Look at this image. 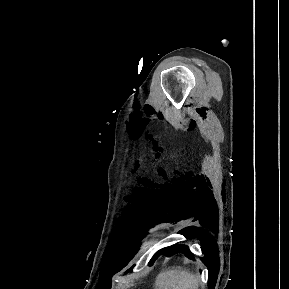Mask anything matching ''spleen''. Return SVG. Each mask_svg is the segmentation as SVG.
<instances>
[{
  "instance_id": "spleen-1",
  "label": "spleen",
  "mask_w": 289,
  "mask_h": 289,
  "mask_svg": "<svg viewBox=\"0 0 289 289\" xmlns=\"http://www.w3.org/2000/svg\"><path fill=\"white\" fill-rule=\"evenodd\" d=\"M154 289H198L199 279L181 267L162 270L156 277Z\"/></svg>"
}]
</instances>
